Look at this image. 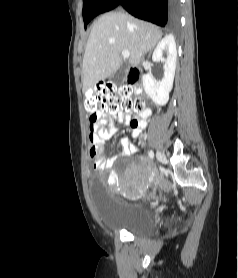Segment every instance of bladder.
<instances>
[{
  "label": "bladder",
  "instance_id": "1",
  "mask_svg": "<svg viewBox=\"0 0 238 278\" xmlns=\"http://www.w3.org/2000/svg\"><path fill=\"white\" fill-rule=\"evenodd\" d=\"M101 181H91L92 199H96L99 219L109 231H124L138 237L153 235L162 220L145 206L135 204H120L114 202V197L108 196Z\"/></svg>",
  "mask_w": 238,
  "mask_h": 278
}]
</instances>
